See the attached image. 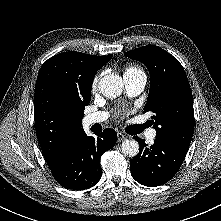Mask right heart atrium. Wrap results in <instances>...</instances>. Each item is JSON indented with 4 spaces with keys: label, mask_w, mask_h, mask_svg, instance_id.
<instances>
[{
    "label": "right heart atrium",
    "mask_w": 221,
    "mask_h": 221,
    "mask_svg": "<svg viewBox=\"0 0 221 221\" xmlns=\"http://www.w3.org/2000/svg\"><path fill=\"white\" fill-rule=\"evenodd\" d=\"M100 76H101V73H98V74L95 76L94 81H93V85H92L93 88L96 86L97 81H98V79H99Z\"/></svg>",
    "instance_id": "obj_1"
}]
</instances>
